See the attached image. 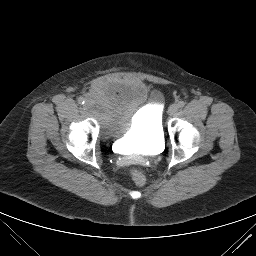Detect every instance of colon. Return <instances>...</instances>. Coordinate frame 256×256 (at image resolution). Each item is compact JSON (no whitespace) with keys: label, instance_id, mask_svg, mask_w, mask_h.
Listing matches in <instances>:
<instances>
[{"label":"colon","instance_id":"colon-1","mask_svg":"<svg viewBox=\"0 0 256 256\" xmlns=\"http://www.w3.org/2000/svg\"><path fill=\"white\" fill-rule=\"evenodd\" d=\"M130 174L136 185L143 186L146 183V176L139 169H132Z\"/></svg>","mask_w":256,"mask_h":256}]
</instances>
